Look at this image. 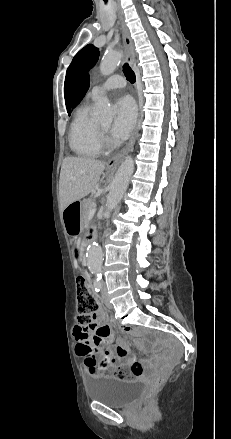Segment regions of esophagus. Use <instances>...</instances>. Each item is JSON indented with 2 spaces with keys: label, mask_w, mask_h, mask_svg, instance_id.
Here are the masks:
<instances>
[{
  "label": "esophagus",
  "mask_w": 231,
  "mask_h": 439,
  "mask_svg": "<svg viewBox=\"0 0 231 439\" xmlns=\"http://www.w3.org/2000/svg\"><path fill=\"white\" fill-rule=\"evenodd\" d=\"M120 15V22H121V30H122V38H123V44L125 49V57L126 61L130 66H133L135 64V56H134V44L131 39L129 30L123 20L122 14ZM139 80L137 79V92H138V114H137V122L134 129V132L132 134L131 139L129 140L128 144L116 155L111 157L107 162V168L115 170L119 163L122 161V159L133 149V146L136 141V137L139 131L140 126V116H141V102H140V94H139Z\"/></svg>",
  "instance_id": "obj_1"
}]
</instances>
